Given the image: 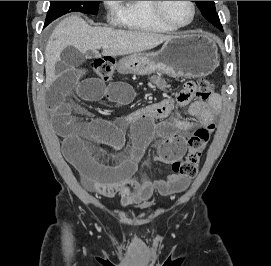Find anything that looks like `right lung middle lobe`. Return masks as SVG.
<instances>
[{
	"mask_svg": "<svg viewBox=\"0 0 271 266\" xmlns=\"http://www.w3.org/2000/svg\"><path fill=\"white\" fill-rule=\"evenodd\" d=\"M99 3L100 1H51L45 26L68 12L79 11L85 14H96Z\"/></svg>",
	"mask_w": 271,
	"mask_h": 266,
	"instance_id": "dd1d6c3e",
	"label": "right lung middle lobe"
}]
</instances>
